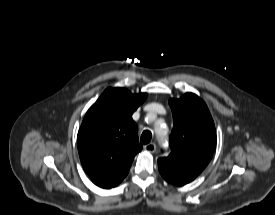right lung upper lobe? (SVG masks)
<instances>
[{
    "label": "right lung upper lobe",
    "mask_w": 275,
    "mask_h": 215,
    "mask_svg": "<svg viewBox=\"0 0 275 215\" xmlns=\"http://www.w3.org/2000/svg\"><path fill=\"white\" fill-rule=\"evenodd\" d=\"M146 98V93L110 87L87 111L77 145L82 166L97 186H117L141 151L132 114Z\"/></svg>",
    "instance_id": "cb5924a9"
}]
</instances>
